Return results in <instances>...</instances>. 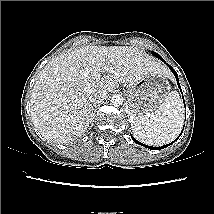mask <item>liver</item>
Returning a JSON list of instances; mask_svg holds the SVG:
<instances>
[{"mask_svg":"<svg viewBox=\"0 0 214 214\" xmlns=\"http://www.w3.org/2000/svg\"><path fill=\"white\" fill-rule=\"evenodd\" d=\"M159 72L166 73L160 61L131 46H85L62 53L42 69L35 81L33 123L45 139L68 143L89 127L91 92H112L119 83L132 84Z\"/></svg>","mask_w":214,"mask_h":214,"instance_id":"1","label":"liver"}]
</instances>
